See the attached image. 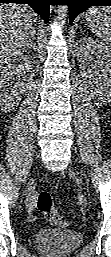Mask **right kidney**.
<instances>
[{
  "label": "right kidney",
  "instance_id": "ca27d5eb",
  "mask_svg": "<svg viewBox=\"0 0 111 257\" xmlns=\"http://www.w3.org/2000/svg\"><path fill=\"white\" fill-rule=\"evenodd\" d=\"M34 77V61L20 56L1 71V106L11 109L20 101Z\"/></svg>",
  "mask_w": 111,
  "mask_h": 257
}]
</instances>
